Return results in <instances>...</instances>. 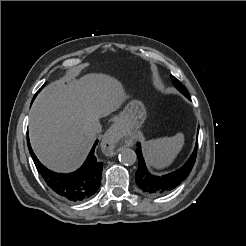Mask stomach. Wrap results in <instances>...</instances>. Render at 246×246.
I'll list each match as a JSON object with an SVG mask.
<instances>
[{"mask_svg":"<svg viewBox=\"0 0 246 246\" xmlns=\"http://www.w3.org/2000/svg\"><path fill=\"white\" fill-rule=\"evenodd\" d=\"M146 108L139 100H131L119 114L117 123L127 134L137 131L146 119Z\"/></svg>","mask_w":246,"mask_h":246,"instance_id":"1","label":"stomach"}]
</instances>
